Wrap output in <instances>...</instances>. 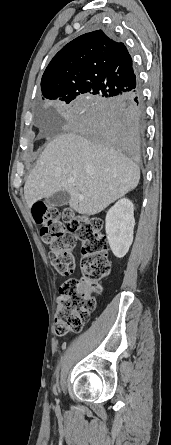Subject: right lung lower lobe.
<instances>
[{"mask_svg":"<svg viewBox=\"0 0 171 445\" xmlns=\"http://www.w3.org/2000/svg\"><path fill=\"white\" fill-rule=\"evenodd\" d=\"M103 97L90 114L96 139L131 159H139L144 118L140 88L125 96Z\"/></svg>","mask_w":171,"mask_h":445,"instance_id":"98d812e1","label":"right lung lower lobe"}]
</instances>
